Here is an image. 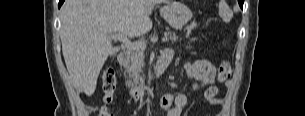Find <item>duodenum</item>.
I'll return each mask as SVG.
<instances>
[{
    "mask_svg": "<svg viewBox=\"0 0 305 116\" xmlns=\"http://www.w3.org/2000/svg\"><path fill=\"white\" fill-rule=\"evenodd\" d=\"M170 60L171 59L167 58V57H163V58L159 59V61L156 64V68H155V77L156 78H160L163 76V74L165 73V71L170 63ZM118 62L120 64V66H122V67L127 66L129 63V55L127 53L120 54L118 56ZM130 93L136 101H140V100L145 99L150 94V90L147 87H131Z\"/></svg>",
    "mask_w": 305,
    "mask_h": 116,
    "instance_id": "obj_1",
    "label": "duodenum"
}]
</instances>
